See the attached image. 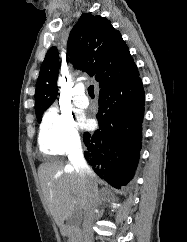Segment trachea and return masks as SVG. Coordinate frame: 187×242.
I'll return each mask as SVG.
<instances>
[{
    "label": "trachea",
    "instance_id": "1",
    "mask_svg": "<svg viewBox=\"0 0 187 242\" xmlns=\"http://www.w3.org/2000/svg\"><path fill=\"white\" fill-rule=\"evenodd\" d=\"M88 93H89V96L94 98V86L93 85H90L88 87Z\"/></svg>",
    "mask_w": 187,
    "mask_h": 242
}]
</instances>
